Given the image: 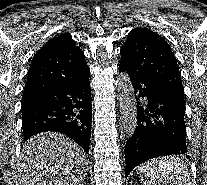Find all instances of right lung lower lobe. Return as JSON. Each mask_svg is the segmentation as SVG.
Listing matches in <instances>:
<instances>
[{"instance_id":"right-lung-lower-lobe-1","label":"right lung lower lobe","mask_w":207,"mask_h":185,"mask_svg":"<svg viewBox=\"0 0 207 185\" xmlns=\"http://www.w3.org/2000/svg\"><path fill=\"white\" fill-rule=\"evenodd\" d=\"M89 75L22 103L24 141L40 132H60L88 153L92 122Z\"/></svg>"}]
</instances>
